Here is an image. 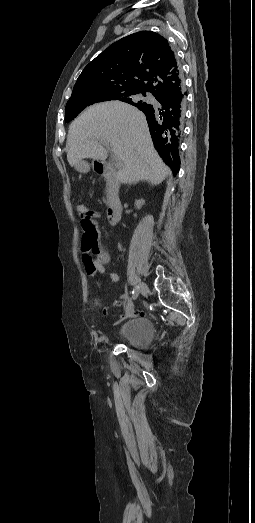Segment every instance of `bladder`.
<instances>
[{"mask_svg": "<svg viewBox=\"0 0 255 523\" xmlns=\"http://www.w3.org/2000/svg\"><path fill=\"white\" fill-rule=\"evenodd\" d=\"M152 323L147 319L129 321L118 334V338L134 348L145 347L153 339Z\"/></svg>", "mask_w": 255, "mask_h": 523, "instance_id": "31cf9c89", "label": "bladder"}]
</instances>
